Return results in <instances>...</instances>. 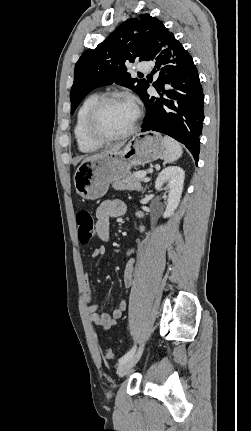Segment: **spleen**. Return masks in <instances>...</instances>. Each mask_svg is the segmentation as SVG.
Masks as SVG:
<instances>
[{
  "instance_id": "3e777b00",
  "label": "spleen",
  "mask_w": 251,
  "mask_h": 431,
  "mask_svg": "<svg viewBox=\"0 0 251 431\" xmlns=\"http://www.w3.org/2000/svg\"><path fill=\"white\" fill-rule=\"evenodd\" d=\"M163 141L165 145V151L163 153L164 161L166 163H172L179 159L183 153L181 145L168 136H165Z\"/></svg>"
}]
</instances>
